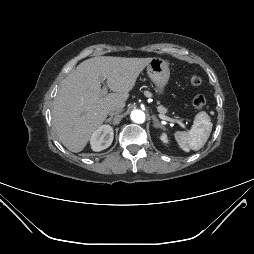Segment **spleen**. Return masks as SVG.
I'll return each instance as SVG.
<instances>
[{"label":"spleen","instance_id":"spleen-1","mask_svg":"<svg viewBox=\"0 0 254 254\" xmlns=\"http://www.w3.org/2000/svg\"><path fill=\"white\" fill-rule=\"evenodd\" d=\"M212 126L210 116L202 111L195 116L190 131H177L174 136L180 148L185 152H189L190 150L197 151L206 144L211 134Z\"/></svg>","mask_w":254,"mask_h":254}]
</instances>
